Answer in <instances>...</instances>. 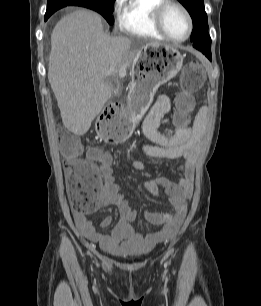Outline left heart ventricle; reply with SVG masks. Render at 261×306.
Instances as JSON below:
<instances>
[{"mask_svg":"<svg viewBox=\"0 0 261 306\" xmlns=\"http://www.w3.org/2000/svg\"><path fill=\"white\" fill-rule=\"evenodd\" d=\"M163 24L169 35L175 39L185 37L187 33V20L178 8L169 7L163 15Z\"/></svg>","mask_w":261,"mask_h":306,"instance_id":"1","label":"left heart ventricle"}]
</instances>
